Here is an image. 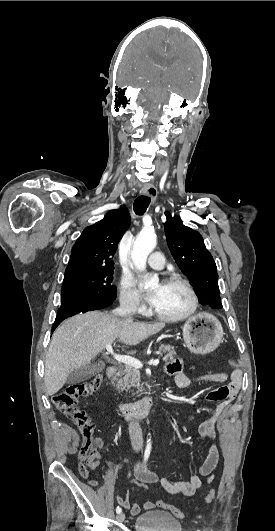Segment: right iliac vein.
<instances>
[{
    "mask_svg": "<svg viewBox=\"0 0 275 531\" xmlns=\"http://www.w3.org/2000/svg\"><path fill=\"white\" fill-rule=\"evenodd\" d=\"M117 520L120 521V522H123L124 519H125V515L124 513H119L117 516H116Z\"/></svg>",
    "mask_w": 275,
    "mask_h": 531,
    "instance_id": "1",
    "label": "right iliac vein"
}]
</instances>
